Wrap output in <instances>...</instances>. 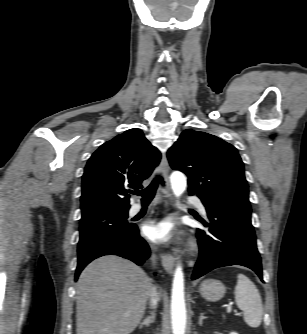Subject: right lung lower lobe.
I'll return each mask as SVG.
<instances>
[{
  "label": "right lung lower lobe",
  "mask_w": 307,
  "mask_h": 334,
  "mask_svg": "<svg viewBox=\"0 0 307 334\" xmlns=\"http://www.w3.org/2000/svg\"><path fill=\"white\" fill-rule=\"evenodd\" d=\"M104 255H118L135 262L137 265H142L150 256V249L146 241L139 235L137 227L123 239L106 240L94 244L78 254L75 280L88 263Z\"/></svg>",
  "instance_id": "obj_1"
}]
</instances>
